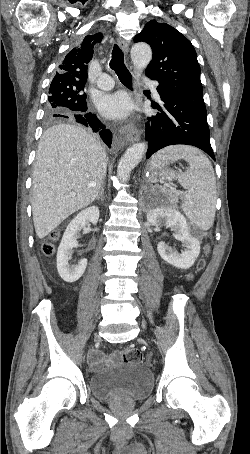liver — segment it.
<instances>
[{"mask_svg":"<svg viewBox=\"0 0 250 454\" xmlns=\"http://www.w3.org/2000/svg\"><path fill=\"white\" fill-rule=\"evenodd\" d=\"M107 157L85 129L58 124L41 137L32 178V214L43 239L63 220L88 206L100 192Z\"/></svg>","mask_w":250,"mask_h":454,"instance_id":"1","label":"liver"}]
</instances>
